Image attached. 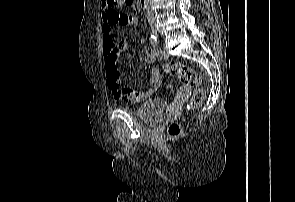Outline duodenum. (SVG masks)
<instances>
[{"label": "duodenum", "mask_w": 295, "mask_h": 202, "mask_svg": "<svg viewBox=\"0 0 295 202\" xmlns=\"http://www.w3.org/2000/svg\"><path fill=\"white\" fill-rule=\"evenodd\" d=\"M138 3L141 8L145 9L147 7L148 0H138Z\"/></svg>", "instance_id": "obj_1"}]
</instances>
